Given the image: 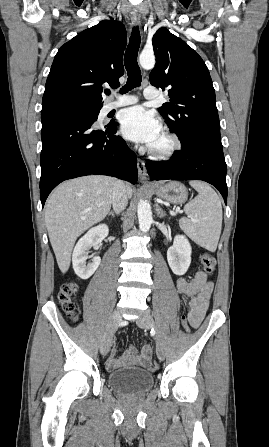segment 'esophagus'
<instances>
[{
  "mask_svg": "<svg viewBox=\"0 0 269 447\" xmlns=\"http://www.w3.org/2000/svg\"><path fill=\"white\" fill-rule=\"evenodd\" d=\"M131 22L133 25L136 26H140V22H141V16L140 15H132L131 17ZM137 169H138V176H139V180L142 183L147 182V170H146V166H145V161L142 160L141 158L137 159Z\"/></svg>",
  "mask_w": 269,
  "mask_h": 447,
  "instance_id": "34e87169",
  "label": "esophagus"
}]
</instances>
